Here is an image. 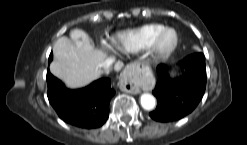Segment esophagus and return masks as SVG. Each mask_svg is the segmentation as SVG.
<instances>
[{"instance_id": "34e87169", "label": "esophagus", "mask_w": 247, "mask_h": 145, "mask_svg": "<svg viewBox=\"0 0 247 145\" xmlns=\"http://www.w3.org/2000/svg\"><path fill=\"white\" fill-rule=\"evenodd\" d=\"M141 80V72L140 70L128 66L124 69L120 76L119 80V88L130 94H138L140 92L139 84Z\"/></svg>"}]
</instances>
